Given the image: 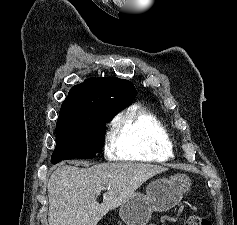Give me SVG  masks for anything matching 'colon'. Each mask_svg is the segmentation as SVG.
<instances>
[{"label": "colon", "instance_id": "5ec220e1", "mask_svg": "<svg viewBox=\"0 0 237 225\" xmlns=\"http://www.w3.org/2000/svg\"><path fill=\"white\" fill-rule=\"evenodd\" d=\"M112 225V224H108ZM185 225H212L211 221L197 215H189L185 218Z\"/></svg>", "mask_w": 237, "mask_h": 225}]
</instances>
